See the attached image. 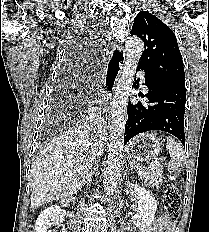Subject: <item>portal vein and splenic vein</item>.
I'll list each match as a JSON object with an SVG mask.
<instances>
[{"mask_svg":"<svg viewBox=\"0 0 209 232\" xmlns=\"http://www.w3.org/2000/svg\"><path fill=\"white\" fill-rule=\"evenodd\" d=\"M157 165H160L159 162L157 160H154L151 165L150 168H155ZM142 167H140L139 169H141Z\"/></svg>","mask_w":209,"mask_h":232,"instance_id":"18ae733b","label":"portal vein and splenic vein"}]
</instances>
